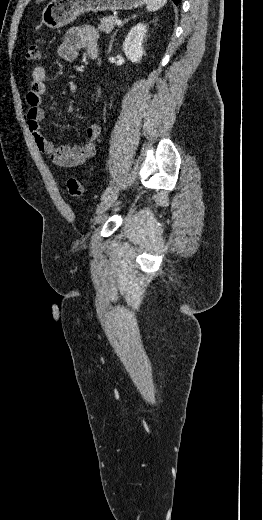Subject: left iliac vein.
I'll list each match as a JSON object with an SVG mask.
<instances>
[{
	"instance_id": "4c4485c4",
	"label": "left iliac vein",
	"mask_w": 263,
	"mask_h": 520,
	"mask_svg": "<svg viewBox=\"0 0 263 520\" xmlns=\"http://www.w3.org/2000/svg\"><path fill=\"white\" fill-rule=\"evenodd\" d=\"M117 196H118V192L116 190L112 191L109 195H107L101 201V203L98 205L97 214L98 215L104 214L111 207V205L115 202V200L117 199Z\"/></svg>"
}]
</instances>
